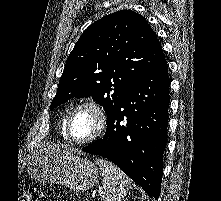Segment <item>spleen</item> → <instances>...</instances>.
Wrapping results in <instances>:
<instances>
[{"label":"spleen","mask_w":221,"mask_h":201,"mask_svg":"<svg viewBox=\"0 0 221 201\" xmlns=\"http://www.w3.org/2000/svg\"><path fill=\"white\" fill-rule=\"evenodd\" d=\"M96 164L100 167L103 177V186L99 191L101 201H121L131 189L129 178L106 159L98 158Z\"/></svg>","instance_id":"obj_1"}]
</instances>
